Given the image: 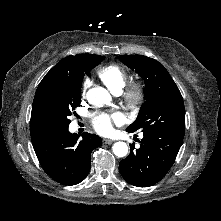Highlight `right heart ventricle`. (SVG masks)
Listing matches in <instances>:
<instances>
[{
    "label": "right heart ventricle",
    "instance_id": "right-heart-ventricle-1",
    "mask_svg": "<svg viewBox=\"0 0 221 221\" xmlns=\"http://www.w3.org/2000/svg\"><path fill=\"white\" fill-rule=\"evenodd\" d=\"M99 79L115 93H120L126 84L127 73L124 68L117 64H109L97 71Z\"/></svg>",
    "mask_w": 221,
    "mask_h": 221
}]
</instances>
